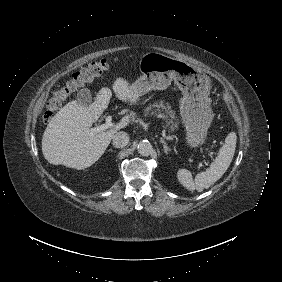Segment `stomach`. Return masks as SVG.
I'll return each instance as SVG.
<instances>
[{
    "label": "stomach",
    "mask_w": 282,
    "mask_h": 282,
    "mask_svg": "<svg viewBox=\"0 0 282 282\" xmlns=\"http://www.w3.org/2000/svg\"><path fill=\"white\" fill-rule=\"evenodd\" d=\"M139 70L142 75L127 88L128 98L133 100V94L143 97L152 90H165L174 81L184 94L180 109L188 140L191 144L201 143L214 117L208 100L210 78L183 60L155 51L141 57Z\"/></svg>",
    "instance_id": "stomach-1"
}]
</instances>
